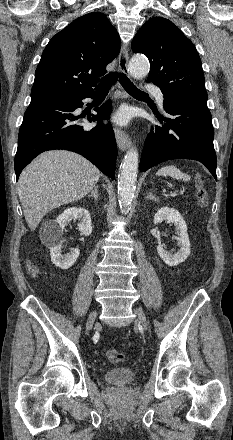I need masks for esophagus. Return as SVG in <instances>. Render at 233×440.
<instances>
[{
  "mask_svg": "<svg viewBox=\"0 0 233 440\" xmlns=\"http://www.w3.org/2000/svg\"><path fill=\"white\" fill-rule=\"evenodd\" d=\"M128 59H129L128 50L126 48H123L119 55V71L129 76ZM121 93L123 96H125V93L122 89H121ZM115 137H116L117 145L120 150L125 151L130 147L131 141L128 134L125 131L116 128Z\"/></svg>",
  "mask_w": 233,
  "mask_h": 440,
  "instance_id": "obj_1",
  "label": "esophagus"
}]
</instances>
